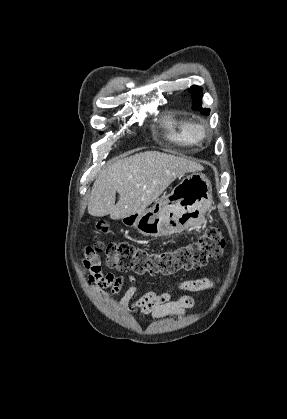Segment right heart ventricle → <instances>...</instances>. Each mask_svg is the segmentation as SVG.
Returning a JSON list of instances; mask_svg holds the SVG:
<instances>
[{"instance_id":"1","label":"right heart ventricle","mask_w":287,"mask_h":419,"mask_svg":"<svg viewBox=\"0 0 287 419\" xmlns=\"http://www.w3.org/2000/svg\"><path fill=\"white\" fill-rule=\"evenodd\" d=\"M160 122L164 134L170 142L183 146H192L197 143L193 141L189 134L191 122L186 118L167 112L162 116Z\"/></svg>"}]
</instances>
